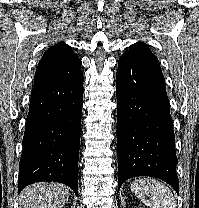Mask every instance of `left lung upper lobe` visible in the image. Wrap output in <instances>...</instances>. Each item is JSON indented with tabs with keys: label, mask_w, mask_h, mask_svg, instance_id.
I'll list each match as a JSON object with an SVG mask.
<instances>
[{
	"label": "left lung upper lobe",
	"mask_w": 199,
	"mask_h": 208,
	"mask_svg": "<svg viewBox=\"0 0 199 208\" xmlns=\"http://www.w3.org/2000/svg\"><path fill=\"white\" fill-rule=\"evenodd\" d=\"M122 56L135 59L143 65L162 73L157 57L151 52L149 47L142 42L131 45L129 50H126Z\"/></svg>",
	"instance_id": "left-lung-upper-lobe-1"
}]
</instances>
